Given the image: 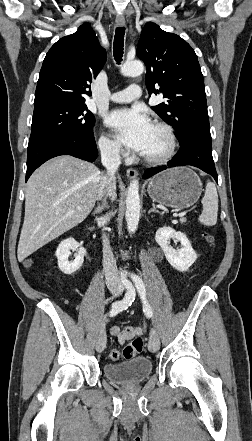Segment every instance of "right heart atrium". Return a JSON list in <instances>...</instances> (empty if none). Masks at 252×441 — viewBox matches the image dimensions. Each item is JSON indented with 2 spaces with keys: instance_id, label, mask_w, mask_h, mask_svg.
Segmentation results:
<instances>
[{
  "instance_id": "obj_1",
  "label": "right heart atrium",
  "mask_w": 252,
  "mask_h": 441,
  "mask_svg": "<svg viewBox=\"0 0 252 441\" xmlns=\"http://www.w3.org/2000/svg\"><path fill=\"white\" fill-rule=\"evenodd\" d=\"M98 145L101 152L110 158L118 159L126 155L122 146L104 132L99 136Z\"/></svg>"
}]
</instances>
